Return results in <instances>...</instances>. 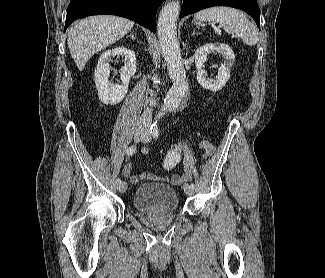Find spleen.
I'll return each mask as SVG.
<instances>
[{
  "instance_id": "spleen-1",
  "label": "spleen",
  "mask_w": 325,
  "mask_h": 278,
  "mask_svg": "<svg viewBox=\"0 0 325 278\" xmlns=\"http://www.w3.org/2000/svg\"><path fill=\"white\" fill-rule=\"evenodd\" d=\"M194 20L218 22L227 33L238 35L246 45L254 46L258 42L256 27L237 9L211 7L197 12Z\"/></svg>"
}]
</instances>
